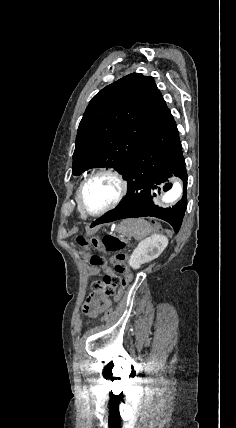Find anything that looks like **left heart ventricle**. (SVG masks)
I'll return each instance as SVG.
<instances>
[{
    "mask_svg": "<svg viewBox=\"0 0 236 428\" xmlns=\"http://www.w3.org/2000/svg\"><path fill=\"white\" fill-rule=\"evenodd\" d=\"M118 191V183L113 178L100 176L87 183L84 200L90 210H100L116 198Z\"/></svg>",
    "mask_w": 236,
    "mask_h": 428,
    "instance_id": "1",
    "label": "left heart ventricle"
}]
</instances>
